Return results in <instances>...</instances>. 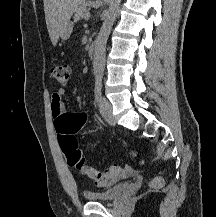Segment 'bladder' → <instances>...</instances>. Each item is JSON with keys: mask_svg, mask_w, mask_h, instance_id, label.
Masks as SVG:
<instances>
[{"mask_svg": "<svg viewBox=\"0 0 216 217\" xmlns=\"http://www.w3.org/2000/svg\"><path fill=\"white\" fill-rule=\"evenodd\" d=\"M129 183L115 184L103 191H86L84 197L90 202L109 203L117 200L128 189Z\"/></svg>", "mask_w": 216, "mask_h": 217, "instance_id": "31cf9c89", "label": "bladder"}]
</instances>
